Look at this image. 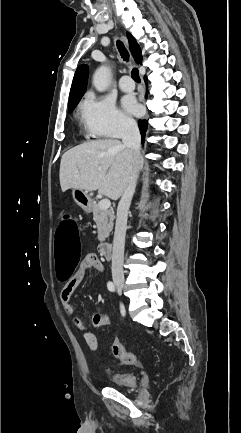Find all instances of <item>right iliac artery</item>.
I'll return each mask as SVG.
<instances>
[{
    "label": "right iliac artery",
    "mask_w": 241,
    "mask_h": 433,
    "mask_svg": "<svg viewBox=\"0 0 241 433\" xmlns=\"http://www.w3.org/2000/svg\"><path fill=\"white\" fill-rule=\"evenodd\" d=\"M107 287H108L109 291L115 292V285L113 284V282L109 281L107 283ZM121 313L123 316L125 315V310H124L123 306H121Z\"/></svg>",
    "instance_id": "1"
}]
</instances>
